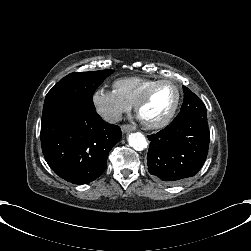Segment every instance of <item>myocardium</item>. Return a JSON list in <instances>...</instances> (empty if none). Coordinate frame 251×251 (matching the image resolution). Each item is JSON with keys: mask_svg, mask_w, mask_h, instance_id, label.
I'll use <instances>...</instances> for the list:
<instances>
[{"mask_svg": "<svg viewBox=\"0 0 251 251\" xmlns=\"http://www.w3.org/2000/svg\"><path fill=\"white\" fill-rule=\"evenodd\" d=\"M163 82H173L177 85L179 94H178V100L176 102V105L174 106L172 111L163 120L156 122V123L146 122L140 117V111L143 108V106L147 103L149 98L151 97L153 91ZM184 91H185L184 85L182 83L172 79V78H161V79H157L153 83H151L145 89V91L143 92V94L137 100V102L135 104V112H136L137 116L139 117L142 125L145 128L150 129V130L161 129V128H164L167 125H169L181 108V105H182L183 99H184Z\"/></svg>", "mask_w": 251, "mask_h": 251, "instance_id": "myocardium-1", "label": "myocardium"}]
</instances>
